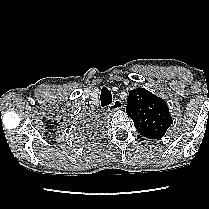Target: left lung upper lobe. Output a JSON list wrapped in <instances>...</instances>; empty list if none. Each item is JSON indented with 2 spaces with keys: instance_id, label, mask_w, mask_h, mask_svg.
Masks as SVG:
<instances>
[{
  "instance_id": "5c2ea615",
  "label": "left lung upper lobe",
  "mask_w": 209,
  "mask_h": 209,
  "mask_svg": "<svg viewBox=\"0 0 209 209\" xmlns=\"http://www.w3.org/2000/svg\"><path fill=\"white\" fill-rule=\"evenodd\" d=\"M126 112L138 132L149 139L162 138L172 123L166 102L145 88L129 92Z\"/></svg>"
}]
</instances>
